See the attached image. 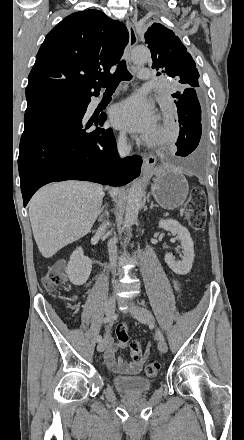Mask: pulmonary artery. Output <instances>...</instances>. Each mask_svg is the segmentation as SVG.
Listing matches in <instances>:
<instances>
[{"label": "pulmonary artery", "mask_w": 244, "mask_h": 440, "mask_svg": "<svg viewBox=\"0 0 244 440\" xmlns=\"http://www.w3.org/2000/svg\"><path fill=\"white\" fill-rule=\"evenodd\" d=\"M150 75V72L148 69H138L137 70V77L138 78H148ZM101 100V98H96L92 101L91 105H96L99 101Z\"/></svg>", "instance_id": "1"}]
</instances>
